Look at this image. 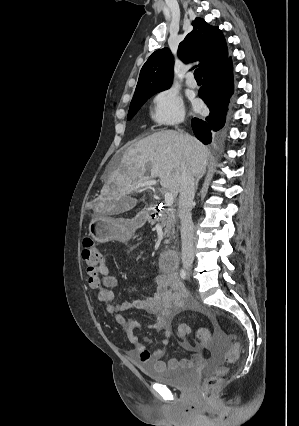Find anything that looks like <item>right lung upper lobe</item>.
<instances>
[{"label": "right lung upper lobe", "mask_w": 299, "mask_h": 426, "mask_svg": "<svg viewBox=\"0 0 299 426\" xmlns=\"http://www.w3.org/2000/svg\"><path fill=\"white\" fill-rule=\"evenodd\" d=\"M193 30L178 47V57L185 63L200 60L202 74L221 66L228 59L225 39L218 27L195 18ZM174 58L168 48L155 51L143 65L134 95L168 89L173 80Z\"/></svg>", "instance_id": "1"}]
</instances>
